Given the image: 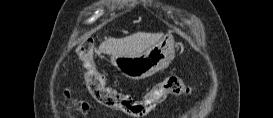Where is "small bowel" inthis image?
Returning a JSON list of instances; mask_svg holds the SVG:
<instances>
[{"mask_svg":"<svg viewBox=\"0 0 273 118\" xmlns=\"http://www.w3.org/2000/svg\"><path fill=\"white\" fill-rule=\"evenodd\" d=\"M64 96L66 99L73 101V105H74L75 110H77L83 114H86L90 111V106L86 101L73 99L71 96V93L69 91L65 92Z\"/></svg>","mask_w":273,"mask_h":118,"instance_id":"small-bowel-1","label":"small bowel"}]
</instances>
